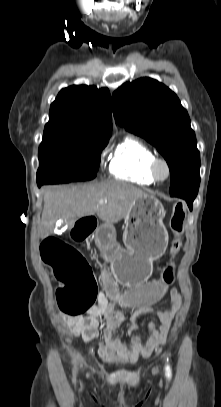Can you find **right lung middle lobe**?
Instances as JSON below:
<instances>
[{"instance_id": "dd1d6c3e", "label": "right lung middle lobe", "mask_w": 221, "mask_h": 407, "mask_svg": "<svg viewBox=\"0 0 221 407\" xmlns=\"http://www.w3.org/2000/svg\"><path fill=\"white\" fill-rule=\"evenodd\" d=\"M108 142L64 135H44L39 147L37 182L69 183L95 178Z\"/></svg>"}]
</instances>
